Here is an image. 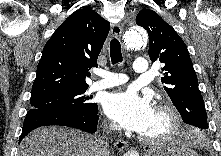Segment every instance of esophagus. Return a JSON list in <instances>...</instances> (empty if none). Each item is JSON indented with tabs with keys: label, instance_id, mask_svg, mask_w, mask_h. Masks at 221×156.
I'll return each mask as SVG.
<instances>
[{
	"label": "esophagus",
	"instance_id": "34e87169",
	"mask_svg": "<svg viewBox=\"0 0 221 156\" xmlns=\"http://www.w3.org/2000/svg\"><path fill=\"white\" fill-rule=\"evenodd\" d=\"M111 34L115 38H120L122 35V28L119 24H112L111 25ZM115 147L118 151L123 152L128 149L127 141L123 139H117L115 141Z\"/></svg>",
	"mask_w": 221,
	"mask_h": 156
}]
</instances>
